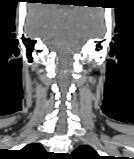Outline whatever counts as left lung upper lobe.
<instances>
[{
	"label": "left lung upper lobe",
	"mask_w": 134,
	"mask_h": 159,
	"mask_svg": "<svg viewBox=\"0 0 134 159\" xmlns=\"http://www.w3.org/2000/svg\"><path fill=\"white\" fill-rule=\"evenodd\" d=\"M70 159H103V158L90 146L82 145L74 150Z\"/></svg>",
	"instance_id": "1"
}]
</instances>
